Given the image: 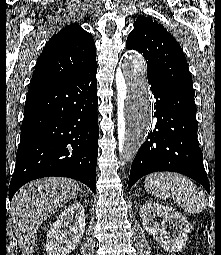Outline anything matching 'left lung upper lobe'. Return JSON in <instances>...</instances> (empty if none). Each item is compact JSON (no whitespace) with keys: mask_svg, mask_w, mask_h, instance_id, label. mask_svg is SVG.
I'll use <instances>...</instances> for the list:
<instances>
[{"mask_svg":"<svg viewBox=\"0 0 221 255\" xmlns=\"http://www.w3.org/2000/svg\"><path fill=\"white\" fill-rule=\"evenodd\" d=\"M128 49L141 53L147 77L194 97L187 60L175 38L155 20L139 17L126 41Z\"/></svg>","mask_w":221,"mask_h":255,"instance_id":"5c2ea615","label":"left lung upper lobe"}]
</instances>
